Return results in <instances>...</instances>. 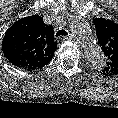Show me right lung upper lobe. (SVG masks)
<instances>
[{
  "label": "right lung upper lobe",
  "instance_id": "cb5924a9",
  "mask_svg": "<svg viewBox=\"0 0 118 118\" xmlns=\"http://www.w3.org/2000/svg\"><path fill=\"white\" fill-rule=\"evenodd\" d=\"M57 49L53 27L33 15L15 22L5 33L2 50L16 67L39 69L50 62Z\"/></svg>",
  "mask_w": 118,
  "mask_h": 118
}]
</instances>
